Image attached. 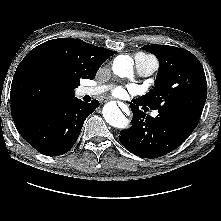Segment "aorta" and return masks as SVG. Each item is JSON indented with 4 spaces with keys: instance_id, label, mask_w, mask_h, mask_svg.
Returning a JSON list of instances; mask_svg holds the SVG:
<instances>
[{
    "instance_id": "obj_1",
    "label": "aorta",
    "mask_w": 221,
    "mask_h": 221,
    "mask_svg": "<svg viewBox=\"0 0 221 221\" xmlns=\"http://www.w3.org/2000/svg\"><path fill=\"white\" fill-rule=\"evenodd\" d=\"M113 72L119 77L133 76V62L126 56H118L113 62ZM103 117L108 124L116 128H125L128 125L127 118L115 103H107L103 108Z\"/></svg>"
}]
</instances>
